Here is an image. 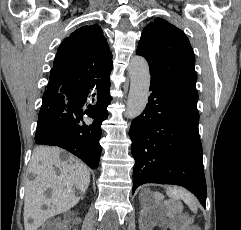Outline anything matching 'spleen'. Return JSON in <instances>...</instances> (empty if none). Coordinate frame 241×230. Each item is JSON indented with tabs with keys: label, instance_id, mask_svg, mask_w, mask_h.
I'll use <instances>...</instances> for the list:
<instances>
[{
	"label": "spleen",
	"instance_id": "1",
	"mask_svg": "<svg viewBox=\"0 0 241 230\" xmlns=\"http://www.w3.org/2000/svg\"><path fill=\"white\" fill-rule=\"evenodd\" d=\"M167 194L174 200H183L193 211H197V201L192 194L182 188L172 187L167 189Z\"/></svg>",
	"mask_w": 241,
	"mask_h": 230
}]
</instances>
